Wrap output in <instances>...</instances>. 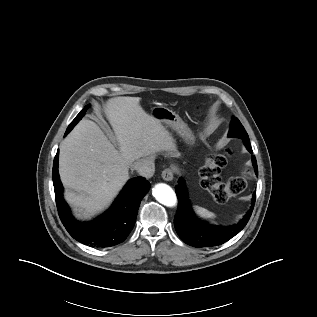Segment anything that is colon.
<instances>
[{
  "instance_id": "colon-1",
  "label": "colon",
  "mask_w": 317,
  "mask_h": 317,
  "mask_svg": "<svg viewBox=\"0 0 317 317\" xmlns=\"http://www.w3.org/2000/svg\"><path fill=\"white\" fill-rule=\"evenodd\" d=\"M230 151L211 155L201 170V184L215 200L224 202L232 196L241 194L247 187L248 172L234 177L227 182L220 178V171L226 165Z\"/></svg>"
}]
</instances>
